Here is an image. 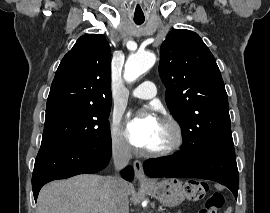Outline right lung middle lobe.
<instances>
[{
    "label": "right lung middle lobe",
    "mask_w": 270,
    "mask_h": 213,
    "mask_svg": "<svg viewBox=\"0 0 270 213\" xmlns=\"http://www.w3.org/2000/svg\"><path fill=\"white\" fill-rule=\"evenodd\" d=\"M111 106L62 104L46 109L41 146L80 145L110 138Z\"/></svg>",
    "instance_id": "dd1d6c3e"
}]
</instances>
